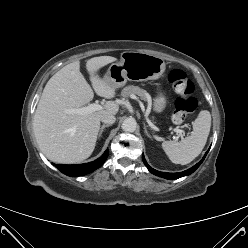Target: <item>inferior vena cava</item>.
<instances>
[{
  "label": "inferior vena cava",
  "mask_w": 248,
  "mask_h": 248,
  "mask_svg": "<svg viewBox=\"0 0 248 248\" xmlns=\"http://www.w3.org/2000/svg\"><path fill=\"white\" fill-rule=\"evenodd\" d=\"M116 118L114 115H104L101 118V121L106 124H113L115 122Z\"/></svg>",
  "instance_id": "inferior-vena-cava-1"
}]
</instances>
